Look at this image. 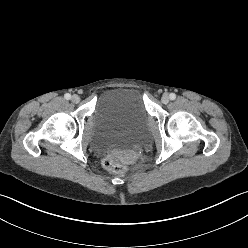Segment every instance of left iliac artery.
<instances>
[{
  "instance_id": "44dca946",
  "label": "left iliac artery",
  "mask_w": 248,
  "mask_h": 248,
  "mask_svg": "<svg viewBox=\"0 0 248 248\" xmlns=\"http://www.w3.org/2000/svg\"><path fill=\"white\" fill-rule=\"evenodd\" d=\"M169 97H170L171 100H174L176 98V94L175 93H171L169 95Z\"/></svg>"
}]
</instances>
